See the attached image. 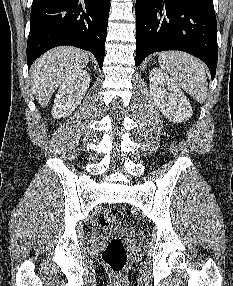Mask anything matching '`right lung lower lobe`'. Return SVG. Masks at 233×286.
I'll use <instances>...</instances> for the list:
<instances>
[{
	"mask_svg": "<svg viewBox=\"0 0 233 286\" xmlns=\"http://www.w3.org/2000/svg\"><path fill=\"white\" fill-rule=\"evenodd\" d=\"M110 0H33L27 64L47 50L70 45L90 51L102 68Z\"/></svg>",
	"mask_w": 233,
	"mask_h": 286,
	"instance_id": "obj_1",
	"label": "right lung lower lobe"
}]
</instances>
